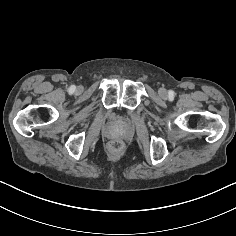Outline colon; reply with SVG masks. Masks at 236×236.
I'll use <instances>...</instances> for the list:
<instances>
[{
	"label": "colon",
	"instance_id": "1",
	"mask_svg": "<svg viewBox=\"0 0 236 236\" xmlns=\"http://www.w3.org/2000/svg\"><path fill=\"white\" fill-rule=\"evenodd\" d=\"M110 147L114 150H118L121 147V144L118 141H114L110 143Z\"/></svg>",
	"mask_w": 236,
	"mask_h": 236
}]
</instances>
